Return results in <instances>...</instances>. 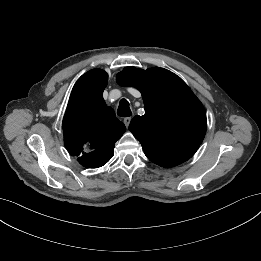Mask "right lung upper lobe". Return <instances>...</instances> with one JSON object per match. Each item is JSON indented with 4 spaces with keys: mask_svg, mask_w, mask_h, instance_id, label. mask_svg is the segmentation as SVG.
I'll return each instance as SVG.
<instances>
[{
    "mask_svg": "<svg viewBox=\"0 0 261 261\" xmlns=\"http://www.w3.org/2000/svg\"><path fill=\"white\" fill-rule=\"evenodd\" d=\"M107 80V73L101 69L82 75L72 90L63 119L65 146L86 168L106 164L114 154V143L126 129L103 99Z\"/></svg>",
    "mask_w": 261,
    "mask_h": 261,
    "instance_id": "obj_1",
    "label": "right lung upper lobe"
}]
</instances>
